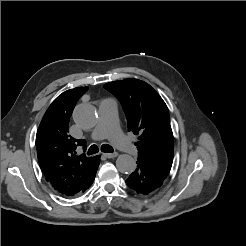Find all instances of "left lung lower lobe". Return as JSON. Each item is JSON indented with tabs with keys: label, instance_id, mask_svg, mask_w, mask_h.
I'll use <instances>...</instances> for the list:
<instances>
[{
	"label": "left lung lower lobe",
	"instance_id": "0a47b994",
	"mask_svg": "<svg viewBox=\"0 0 246 246\" xmlns=\"http://www.w3.org/2000/svg\"><path fill=\"white\" fill-rule=\"evenodd\" d=\"M167 175L154 167L138 162L136 170L126 180L127 185L138 194L147 195L157 190L166 179Z\"/></svg>",
	"mask_w": 246,
	"mask_h": 246
}]
</instances>
